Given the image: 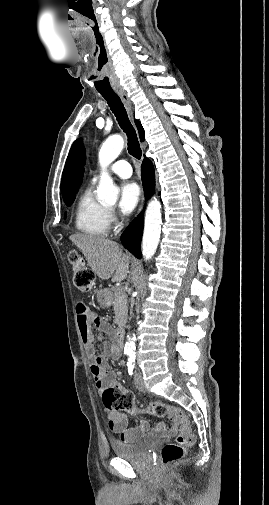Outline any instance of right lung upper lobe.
Wrapping results in <instances>:
<instances>
[{
	"instance_id": "cb5924a9",
	"label": "right lung upper lobe",
	"mask_w": 269,
	"mask_h": 505,
	"mask_svg": "<svg viewBox=\"0 0 269 505\" xmlns=\"http://www.w3.org/2000/svg\"><path fill=\"white\" fill-rule=\"evenodd\" d=\"M140 140H144V130L139 121H135ZM85 164V153L81 140H76L69 152L61 180V193L64 200L70 199L78 191L81 184Z\"/></svg>"
}]
</instances>
